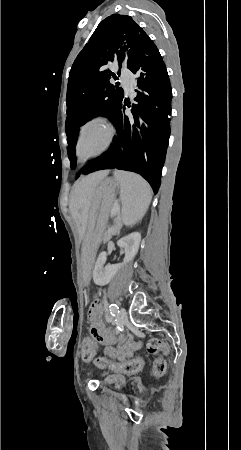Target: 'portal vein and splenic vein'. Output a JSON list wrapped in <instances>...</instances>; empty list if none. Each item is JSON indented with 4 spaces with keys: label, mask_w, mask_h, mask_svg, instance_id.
<instances>
[{
    "label": "portal vein and splenic vein",
    "mask_w": 241,
    "mask_h": 450,
    "mask_svg": "<svg viewBox=\"0 0 241 450\" xmlns=\"http://www.w3.org/2000/svg\"><path fill=\"white\" fill-rule=\"evenodd\" d=\"M122 209L120 208L119 202L113 203L112 213H121Z\"/></svg>",
    "instance_id": "1"
}]
</instances>
